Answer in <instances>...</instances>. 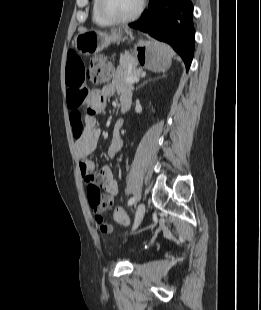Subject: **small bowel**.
Returning <instances> with one entry per match:
<instances>
[{"label":"small bowel","instance_id":"c3829d8e","mask_svg":"<svg viewBox=\"0 0 261 310\" xmlns=\"http://www.w3.org/2000/svg\"><path fill=\"white\" fill-rule=\"evenodd\" d=\"M67 101L71 108V124L75 138V150L79 159V171L87 186L93 184L102 185L107 197L104 203L92 207L96 216L101 214L113 204V197L119 193V184L112 169L105 165L99 172L94 161L89 157L95 151L99 138V128L95 115L105 108L106 99L116 92L121 97L131 98L130 86L124 81L121 69H117L113 80L101 89L91 92L88 99V108L81 114L79 104L85 94V70L81 58L75 52H69L67 56L66 77ZM122 120L114 124L112 137L108 149V155L113 158L123 145L121 136Z\"/></svg>","mask_w":261,"mask_h":310}]
</instances>
